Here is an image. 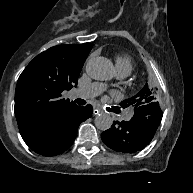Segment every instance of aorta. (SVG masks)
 <instances>
[{"instance_id": "aorta-1", "label": "aorta", "mask_w": 193, "mask_h": 193, "mask_svg": "<svg viewBox=\"0 0 193 193\" xmlns=\"http://www.w3.org/2000/svg\"><path fill=\"white\" fill-rule=\"evenodd\" d=\"M87 73L95 80H109L112 78V65L104 58H97L88 62L86 66ZM112 118L107 113L98 114L94 119L97 129L106 131L112 126Z\"/></svg>"}]
</instances>
